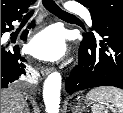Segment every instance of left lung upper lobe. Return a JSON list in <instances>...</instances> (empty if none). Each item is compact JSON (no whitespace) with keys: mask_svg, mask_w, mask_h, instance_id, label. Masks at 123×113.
Masks as SVG:
<instances>
[{"mask_svg":"<svg viewBox=\"0 0 123 113\" xmlns=\"http://www.w3.org/2000/svg\"><path fill=\"white\" fill-rule=\"evenodd\" d=\"M87 8H91L95 13L92 19L106 14H113L123 19V0H77ZM93 29L94 26L92 25ZM93 36V33L83 34Z\"/></svg>","mask_w":123,"mask_h":113,"instance_id":"1","label":"left lung upper lobe"}]
</instances>
